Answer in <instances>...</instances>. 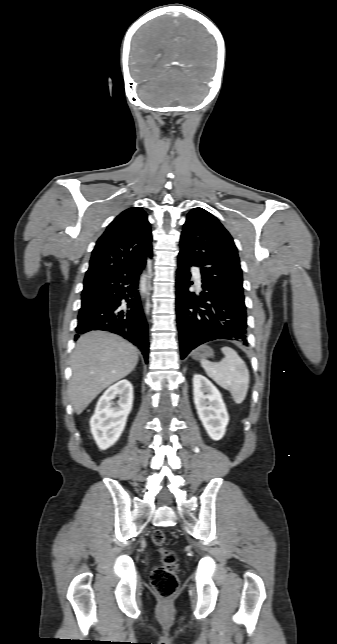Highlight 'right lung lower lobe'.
Returning <instances> with one entry per match:
<instances>
[{
	"instance_id": "right-lung-lower-lobe-1",
	"label": "right lung lower lobe",
	"mask_w": 337,
	"mask_h": 644,
	"mask_svg": "<svg viewBox=\"0 0 337 644\" xmlns=\"http://www.w3.org/2000/svg\"><path fill=\"white\" fill-rule=\"evenodd\" d=\"M145 264L146 261L122 266L85 288L76 332L116 333L136 345L147 363L148 325L138 291L139 275Z\"/></svg>"
}]
</instances>
